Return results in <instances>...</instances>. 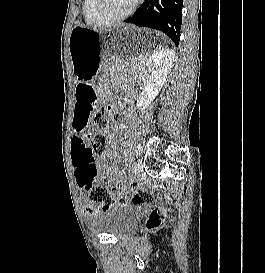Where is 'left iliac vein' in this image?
Listing matches in <instances>:
<instances>
[{"instance_id":"4c4485c4","label":"left iliac vein","mask_w":265,"mask_h":273,"mask_svg":"<svg viewBox=\"0 0 265 273\" xmlns=\"http://www.w3.org/2000/svg\"><path fill=\"white\" fill-rule=\"evenodd\" d=\"M138 146H140L141 151L143 150L142 146L139 144ZM134 171L136 175H141V173L143 172V164L141 160H137L135 163V167H134Z\"/></svg>"}]
</instances>
